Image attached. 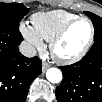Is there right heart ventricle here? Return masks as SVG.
I'll return each mask as SVG.
<instances>
[{"mask_svg": "<svg viewBox=\"0 0 102 102\" xmlns=\"http://www.w3.org/2000/svg\"><path fill=\"white\" fill-rule=\"evenodd\" d=\"M77 17L63 10L37 12L31 17V25L43 40L50 42L63 27Z\"/></svg>", "mask_w": 102, "mask_h": 102, "instance_id": "right-heart-ventricle-1", "label": "right heart ventricle"}]
</instances>
